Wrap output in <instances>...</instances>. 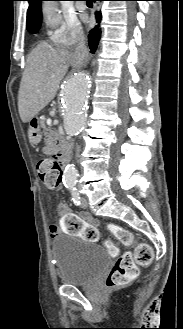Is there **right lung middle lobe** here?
Returning <instances> with one entry per match:
<instances>
[{"instance_id": "right-lung-middle-lobe-1", "label": "right lung middle lobe", "mask_w": 183, "mask_h": 329, "mask_svg": "<svg viewBox=\"0 0 183 329\" xmlns=\"http://www.w3.org/2000/svg\"><path fill=\"white\" fill-rule=\"evenodd\" d=\"M40 26H41V24H38L36 27H34V28L30 31V33H33V34L38 33V31H39V29H40Z\"/></svg>"}]
</instances>
